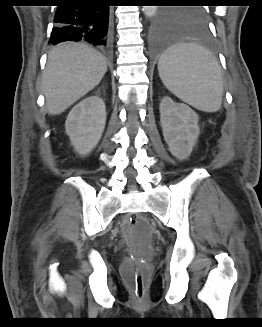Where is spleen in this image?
<instances>
[{
  "instance_id": "obj_1",
  "label": "spleen",
  "mask_w": 262,
  "mask_h": 327,
  "mask_svg": "<svg viewBox=\"0 0 262 327\" xmlns=\"http://www.w3.org/2000/svg\"><path fill=\"white\" fill-rule=\"evenodd\" d=\"M165 87L182 101L205 112H216L222 104L223 80L215 57L192 43L177 44L158 61Z\"/></svg>"
}]
</instances>
